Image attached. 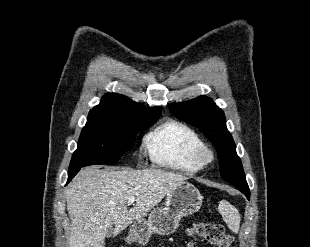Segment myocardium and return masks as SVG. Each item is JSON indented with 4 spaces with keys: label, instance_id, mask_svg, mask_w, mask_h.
Wrapping results in <instances>:
<instances>
[{
    "label": "myocardium",
    "instance_id": "obj_1",
    "mask_svg": "<svg viewBox=\"0 0 310 247\" xmlns=\"http://www.w3.org/2000/svg\"><path fill=\"white\" fill-rule=\"evenodd\" d=\"M194 157L200 166H204L213 162L215 154L209 146L203 145L197 149Z\"/></svg>",
    "mask_w": 310,
    "mask_h": 247
}]
</instances>
